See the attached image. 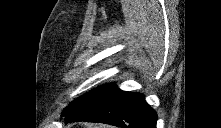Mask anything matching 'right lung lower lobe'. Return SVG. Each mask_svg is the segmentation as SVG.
<instances>
[{"mask_svg": "<svg viewBox=\"0 0 221 128\" xmlns=\"http://www.w3.org/2000/svg\"><path fill=\"white\" fill-rule=\"evenodd\" d=\"M66 121L99 122L122 128H156L157 114L144 96L119 88L84 107L67 113Z\"/></svg>", "mask_w": 221, "mask_h": 128, "instance_id": "1", "label": "right lung lower lobe"}]
</instances>
